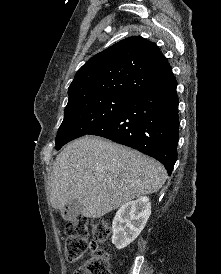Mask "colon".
I'll use <instances>...</instances> for the list:
<instances>
[{"label": "colon", "mask_w": 221, "mask_h": 274, "mask_svg": "<svg viewBox=\"0 0 221 274\" xmlns=\"http://www.w3.org/2000/svg\"><path fill=\"white\" fill-rule=\"evenodd\" d=\"M93 242L90 244V257L75 270L74 274H110V254L103 247L108 240L111 228L107 221L94 219L91 222ZM65 254L69 261L79 260L88 249V221L78 217L66 225Z\"/></svg>", "instance_id": "obj_1"}]
</instances>
